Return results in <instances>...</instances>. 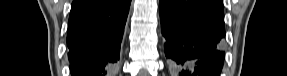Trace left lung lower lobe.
<instances>
[{
	"label": "left lung lower lobe",
	"mask_w": 287,
	"mask_h": 76,
	"mask_svg": "<svg viewBox=\"0 0 287 76\" xmlns=\"http://www.w3.org/2000/svg\"><path fill=\"white\" fill-rule=\"evenodd\" d=\"M165 55L183 76H219L224 52L221 0H160Z\"/></svg>",
	"instance_id": "0a47b994"
}]
</instances>
